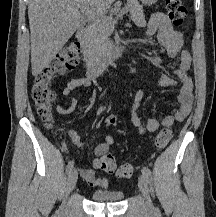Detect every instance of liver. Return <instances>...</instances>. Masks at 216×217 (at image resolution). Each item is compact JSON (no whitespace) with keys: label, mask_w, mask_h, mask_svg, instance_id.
Segmentation results:
<instances>
[{"label":"liver","mask_w":216,"mask_h":217,"mask_svg":"<svg viewBox=\"0 0 216 217\" xmlns=\"http://www.w3.org/2000/svg\"><path fill=\"white\" fill-rule=\"evenodd\" d=\"M115 0H29L32 75H39L83 23L84 5L103 12Z\"/></svg>","instance_id":"6515ba94"}]
</instances>
